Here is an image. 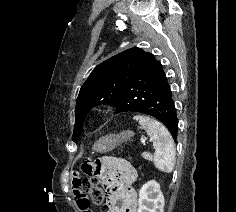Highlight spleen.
Returning <instances> with one entry per match:
<instances>
[{
    "label": "spleen",
    "mask_w": 236,
    "mask_h": 212,
    "mask_svg": "<svg viewBox=\"0 0 236 212\" xmlns=\"http://www.w3.org/2000/svg\"><path fill=\"white\" fill-rule=\"evenodd\" d=\"M133 119L147 131L155 149L153 161L160 171L170 173L175 165V145L167 128L159 121L144 115H136Z\"/></svg>",
    "instance_id": "spleen-1"
}]
</instances>
